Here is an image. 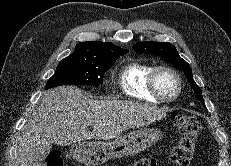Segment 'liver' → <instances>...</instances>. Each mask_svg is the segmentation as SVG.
<instances>
[{
    "mask_svg": "<svg viewBox=\"0 0 231 166\" xmlns=\"http://www.w3.org/2000/svg\"><path fill=\"white\" fill-rule=\"evenodd\" d=\"M167 115V109L133 101L94 100L74 86L48 91L18 142L19 166H42L51 145L114 139ZM93 131L88 130V126Z\"/></svg>",
    "mask_w": 231,
    "mask_h": 166,
    "instance_id": "6515ba94",
    "label": "liver"
}]
</instances>
